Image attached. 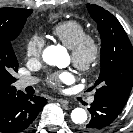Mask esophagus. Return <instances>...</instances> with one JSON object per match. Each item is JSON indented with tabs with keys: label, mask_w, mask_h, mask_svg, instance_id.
<instances>
[{
	"label": "esophagus",
	"mask_w": 133,
	"mask_h": 133,
	"mask_svg": "<svg viewBox=\"0 0 133 133\" xmlns=\"http://www.w3.org/2000/svg\"><path fill=\"white\" fill-rule=\"evenodd\" d=\"M62 105H68V101L66 99L58 98L56 99Z\"/></svg>",
	"instance_id": "esophagus-1"
}]
</instances>
